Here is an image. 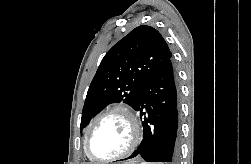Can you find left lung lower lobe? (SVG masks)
<instances>
[{
    "instance_id": "1",
    "label": "left lung lower lobe",
    "mask_w": 251,
    "mask_h": 164,
    "mask_svg": "<svg viewBox=\"0 0 251 164\" xmlns=\"http://www.w3.org/2000/svg\"><path fill=\"white\" fill-rule=\"evenodd\" d=\"M135 110L144 116L143 140L128 159L141 156L147 162L176 163L179 89L171 59L145 84Z\"/></svg>"
}]
</instances>
